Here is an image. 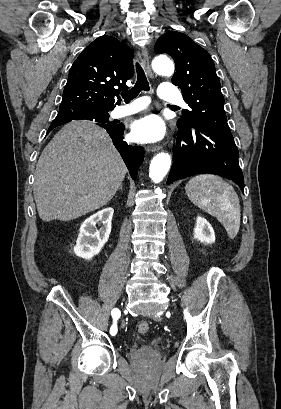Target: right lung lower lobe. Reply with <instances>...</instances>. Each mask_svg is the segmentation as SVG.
<instances>
[{"label": "right lung lower lobe", "instance_id": "98d812e1", "mask_svg": "<svg viewBox=\"0 0 281 409\" xmlns=\"http://www.w3.org/2000/svg\"><path fill=\"white\" fill-rule=\"evenodd\" d=\"M105 112L91 109H62L59 111L57 117L61 118H83L100 120L103 118ZM99 126L105 128L113 140L114 146L120 152L130 175L133 179L137 176V169L141 165L144 158V150L142 147H133L123 141V131L125 129L122 123H109L108 120H101L98 122ZM50 130H48L49 132Z\"/></svg>", "mask_w": 281, "mask_h": 409}]
</instances>
